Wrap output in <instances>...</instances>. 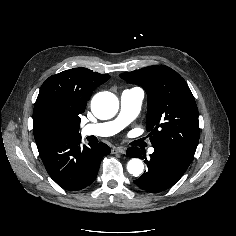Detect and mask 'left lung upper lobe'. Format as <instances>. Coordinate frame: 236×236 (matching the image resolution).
<instances>
[{
	"label": "left lung upper lobe",
	"instance_id": "5c2ea615",
	"mask_svg": "<svg viewBox=\"0 0 236 236\" xmlns=\"http://www.w3.org/2000/svg\"><path fill=\"white\" fill-rule=\"evenodd\" d=\"M120 77L147 93L146 129L152 145L194 154L199 142L198 109L185 80L167 66H150Z\"/></svg>",
	"mask_w": 236,
	"mask_h": 236
}]
</instances>
